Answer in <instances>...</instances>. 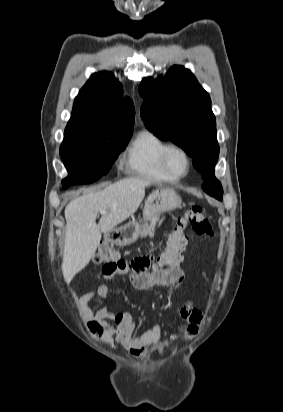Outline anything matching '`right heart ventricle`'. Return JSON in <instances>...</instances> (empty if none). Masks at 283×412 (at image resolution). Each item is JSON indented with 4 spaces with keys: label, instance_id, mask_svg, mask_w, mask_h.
I'll return each mask as SVG.
<instances>
[{
    "label": "right heart ventricle",
    "instance_id": "obj_1",
    "mask_svg": "<svg viewBox=\"0 0 283 412\" xmlns=\"http://www.w3.org/2000/svg\"><path fill=\"white\" fill-rule=\"evenodd\" d=\"M170 143L156 132L140 131L129 144L123 160L125 169L133 174L161 181H173L161 166V156Z\"/></svg>",
    "mask_w": 283,
    "mask_h": 412
}]
</instances>
